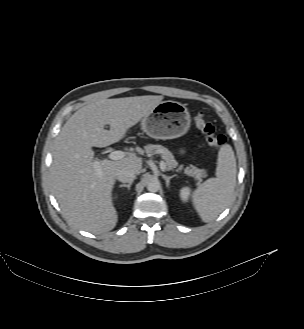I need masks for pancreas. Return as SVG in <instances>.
Masks as SVG:
<instances>
[{
	"mask_svg": "<svg viewBox=\"0 0 304 329\" xmlns=\"http://www.w3.org/2000/svg\"><path fill=\"white\" fill-rule=\"evenodd\" d=\"M144 152L148 155L160 154L165 160L167 170H174L178 166V163L175 160L173 154L167 148L161 145L148 144L144 147ZM182 170L183 166L181 165L177 168L176 171L180 172ZM184 173L188 176L194 177V179L197 181V184H199L202 179L207 176V172L205 169H199L193 165L184 168Z\"/></svg>",
	"mask_w": 304,
	"mask_h": 329,
	"instance_id": "obj_1",
	"label": "pancreas"
}]
</instances>
